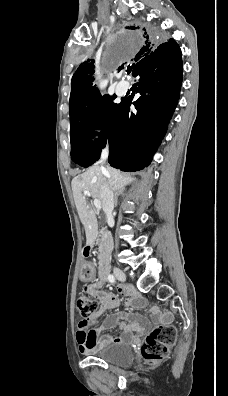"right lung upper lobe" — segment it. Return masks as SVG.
<instances>
[{
	"label": "right lung upper lobe",
	"mask_w": 228,
	"mask_h": 396,
	"mask_svg": "<svg viewBox=\"0 0 228 396\" xmlns=\"http://www.w3.org/2000/svg\"><path fill=\"white\" fill-rule=\"evenodd\" d=\"M135 27H131L134 29ZM145 30V29H144ZM173 41V40H171ZM155 38L148 35L147 32L143 35V45L135 56L132 73L135 72L139 66V62L150 56L155 50ZM94 60H86L79 65V68L74 73L71 80V94H70V118L78 115L86 108H88L95 100L101 97L96 86H92L94 81ZM123 65L120 67L122 68Z\"/></svg>",
	"instance_id": "1"
}]
</instances>
